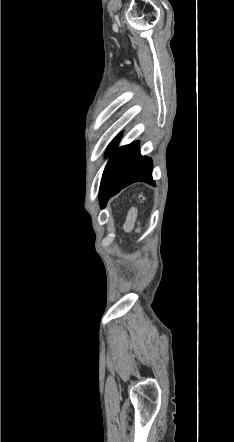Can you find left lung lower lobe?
I'll use <instances>...</instances> for the list:
<instances>
[{
  "label": "left lung lower lobe",
  "mask_w": 234,
  "mask_h": 442,
  "mask_svg": "<svg viewBox=\"0 0 234 442\" xmlns=\"http://www.w3.org/2000/svg\"><path fill=\"white\" fill-rule=\"evenodd\" d=\"M119 139L120 136L113 140L106 153V155L111 153L112 155L106 165L100 185L99 197L102 207L111 196L134 182L154 184L151 159L140 155L137 142L113 151Z\"/></svg>",
  "instance_id": "left-lung-lower-lobe-1"
}]
</instances>
